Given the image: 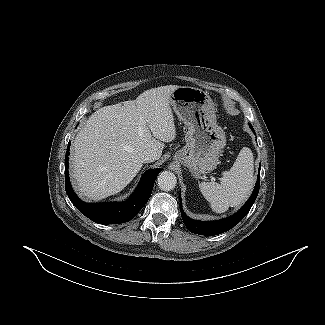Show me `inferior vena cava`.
<instances>
[{"label": "inferior vena cava", "mask_w": 325, "mask_h": 325, "mask_svg": "<svg viewBox=\"0 0 325 325\" xmlns=\"http://www.w3.org/2000/svg\"><path fill=\"white\" fill-rule=\"evenodd\" d=\"M158 159V155L155 151L147 149L141 153V160L143 163L154 162Z\"/></svg>", "instance_id": "602c4592"}]
</instances>
